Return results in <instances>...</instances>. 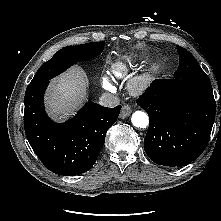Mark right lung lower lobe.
<instances>
[{
  "instance_id": "obj_1",
  "label": "right lung lower lobe",
  "mask_w": 221,
  "mask_h": 221,
  "mask_svg": "<svg viewBox=\"0 0 221 221\" xmlns=\"http://www.w3.org/2000/svg\"><path fill=\"white\" fill-rule=\"evenodd\" d=\"M49 80L30 84L25 93L24 128L27 139L52 172L74 176L95 163L107 130L116 122L121 106L102 107L89 102L65 123H55L46 115L43 94Z\"/></svg>"
}]
</instances>
